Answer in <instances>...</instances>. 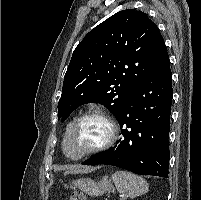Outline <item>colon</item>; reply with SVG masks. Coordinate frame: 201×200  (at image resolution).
Segmentation results:
<instances>
[{
  "label": "colon",
  "instance_id": "5ec220e1",
  "mask_svg": "<svg viewBox=\"0 0 201 200\" xmlns=\"http://www.w3.org/2000/svg\"><path fill=\"white\" fill-rule=\"evenodd\" d=\"M70 200H86V197L82 192L76 191L72 193Z\"/></svg>",
  "mask_w": 201,
  "mask_h": 200
}]
</instances>
